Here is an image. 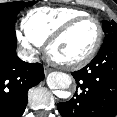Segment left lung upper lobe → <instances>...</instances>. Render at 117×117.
<instances>
[{
	"label": "left lung upper lobe",
	"instance_id": "obj_1",
	"mask_svg": "<svg viewBox=\"0 0 117 117\" xmlns=\"http://www.w3.org/2000/svg\"><path fill=\"white\" fill-rule=\"evenodd\" d=\"M103 31L106 33L105 39L108 37L112 36V34L117 33V24L112 20V21H103ZM104 39V40H105Z\"/></svg>",
	"mask_w": 117,
	"mask_h": 117
}]
</instances>
